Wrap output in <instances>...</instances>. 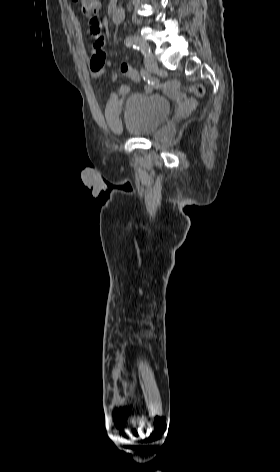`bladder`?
<instances>
[{
    "mask_svg": "<svg viewBox=\"0 0 280 472\" xmlns=\"http://www.w3.org/2000/svg\"><path fill=\"white\" fill-rule=\"evenodd\" d=\"M171 110L170 100L161 95L132 92L122 104L126 131L133 137L153 134L164 124Z\"/></svg>",
    "mask_w": 280,
    "mask_h": 472,
    "instance_id": "1",
    "label": "bladder"
}]
</instances>
